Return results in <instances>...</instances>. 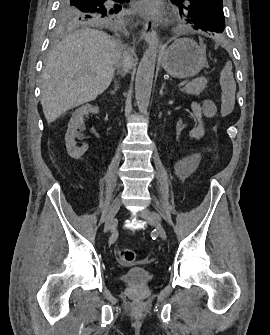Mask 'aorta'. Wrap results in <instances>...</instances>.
I'll return each mask as SVG.
<instances>
[{
    "mask_svg": "<svg viewBox=\"0 0 270 335\" xmlns=\"http://www.w3.org/2000/svg\"><path fill=\"white\" fill-rule=\"evenodd\" d=\"M157 40V38H156ZM158 40L149 44L138 66L135 78V98L140 114H146L150 102Z\"/></svg>",
    "mask_w": 270,
    "mask_h": 335,
    "instance_id": "1",
    "label": "aorta"
}]
</instances>
